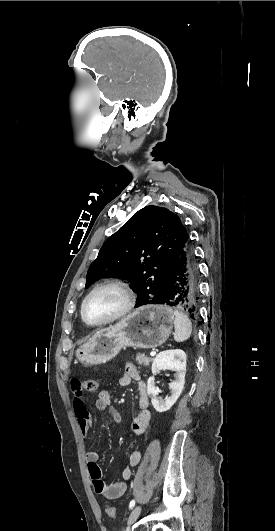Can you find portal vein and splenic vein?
<instances>
[{
	"label": "portal vein and splenic vein",
	"instance_id": "18ae733b",
	"mask_svg": "<svg viewBox=\"0 0 275 531\" xmlns=\"http://www.w3.org/2000/svg\"><path fill=\"white\" fill-rule=\"evenodd\" d=\"M155 353H156V350H153V353H150L151 357H154Z\"/></svg>",
	"mask_w": 275,
	"mask_h": 531
}]
</instances>
